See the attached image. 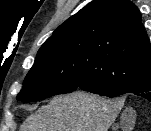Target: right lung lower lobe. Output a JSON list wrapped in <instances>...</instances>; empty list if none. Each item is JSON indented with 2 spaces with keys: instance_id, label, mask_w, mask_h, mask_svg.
<instances>
[{
  "instance_id": "1",
  "label": "right lung lower lobe",
  "mask_w": 151,
  "mask_h": 131,
  "mask_svg": "<svg viewBox=\"0 0 151 131\" xmlns=\"http://www.w3.org/2000/svg\"><path fill=\"white\" fill-rule=\"evenodd\" d=\"M78 88L89 91L94 94H99L100 96L106 97H118L126 93H133L135 95L141 96L148 101H151V83L135 85L131 87H111L108 85H95L89 81H82Z\"/></svg>"
}]
</instances>
